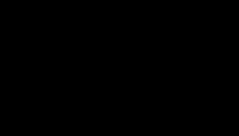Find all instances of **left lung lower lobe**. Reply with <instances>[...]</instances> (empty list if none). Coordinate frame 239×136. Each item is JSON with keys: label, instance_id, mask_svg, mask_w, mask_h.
<instances>
[{"label": "left lung lower lobe", "instance_id": "0a47b994", "mask_svg": "<svg viewBox=\"0 0 239 136\" xmlns=\"http://www.w3.org/2000/svg\"><path fill=\"white\" fill-rule=\"evenodd\" d=\"M203 67V54L187 50L135 63L133 91L137 106L157 119L180 114L197 96Z\"/></svg>", "mask_w": 239, "mask_h": 136}]
</instances>
